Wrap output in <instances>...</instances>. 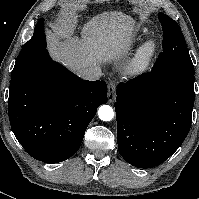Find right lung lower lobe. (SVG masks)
Masks as SVG:
<instances>
[{"instance_id": "right-lung-lower-lobe-1", "label": "right lung lower lobe", "mask_w": 199, "mask_h": 199, "mask_svg": "<svg viewBox=\"0 0 199 199\" xmlns=\"http://www.w3.org/2000/svg\"><path fill=\"white\" fill-rule=\"evenodd\" d=\"M106 102L104 81L80 80L45 50L13 71L8 115L29 155L58 163L77 152L98 106Z\"/></svg>"}]
</instances>
